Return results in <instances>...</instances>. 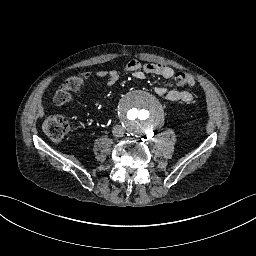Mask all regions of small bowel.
Listing matches in <instances>:
<instances>
[{
	"instance_id": "1",
	"label": "small bowel",
	"mask_w": 256,
	"mask_h": 256,
	"mask_svg": "<svg viewBox=\"0 0 256 256\" xmlns=\"http://www.w3.org/2000/svg\"><path fill=\"white\" fill-rule=\"evenodd\" d=\"M125 70L129 72H133L135 77L138 79H142L146 74L158 75L164 79H172L175 78V71L172 67L161 65V64H143L138 60H130L125 65ZM94 75L106 82L108 86H113L117 83L119 79V71L116 69H112L109 71L106 70H97ZM83 78L87 79L91 76L90 72L82 73ZM155 92L158 96L165 98L168 101H183L189 103L193 100V94L187 90H177L171 89L168 90L164 86H157L155 88Z\"/></svg>"
}]
</instances>
